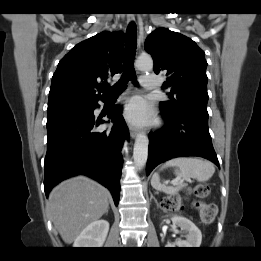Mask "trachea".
Segmentation results:
<instances>
[{
    "label": "trachea",
    "mask_w": 261,
    "mask_h": 261,
    "mask_svg": "<svg viewBox=\"0 0 261 261\" xmlns=\"http://www.w3.org/2000/svg\"><path fill=\"white\" fill-rule=\"evenodd\" d=\"M136 25L131 22L126 31L125 57L123 61V73L119 81L107 87L108 95H118L126 87L128 81L136 82V72L134 69V59L136 54Z\"/></svg>",
    "instance_id": "3493384b"
}]
</instances>
